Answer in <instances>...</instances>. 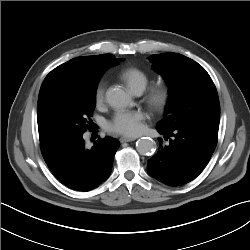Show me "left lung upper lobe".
<instances>
[{
	"label": "left lung upper lobe",
	"instance_id": "left-lung-upper-lobe-1",
	"mask_svg": "<svg viewBox=\"0 0 250 250\" xmlns=\"http://www.w3.org/2000/svg\"><path fill=\"white\" fill-rule=\"evenodd\" d=\"M149 59L169 87V101L158 128L173 131L186 124L220 119L217 90L201 65L177 53L155 54Z\"/></svg>",
	"mask_w": 250,
	"mask_h": 250
}]
</instances>
